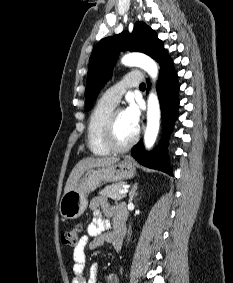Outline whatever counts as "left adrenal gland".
I'll return each mask as SVG.
<instances>
[{"label":"left adrenal gland","instance_id":"a2214340","mask_svg":"<svg viewBox=\"0 0 233 283\" xmlns=\"http://www.w3.org/2000/svg\"><path fill=\"white\" fill-rule=\"evenodd\" d=\"M137 190V183H135L129 193V202L133 201L134 198H136V196L138 195V193L136 192Z\"/></svg>","mask_w":233,"mask_h":283}]
</instances>
